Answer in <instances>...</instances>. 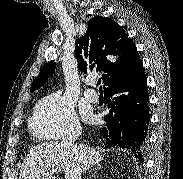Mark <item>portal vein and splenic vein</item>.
<instances>
[{"instance_id":"portal-vein-and-splenic-vein-1","label":"portal vein and splenic vein","mask_w":183,"mask_h":179,"mask_svg":"<svg viewBox=\"0 0 183 179\" xmlns=\"http://www.w3.org/2000/svg\"><path fill=\"white\" fill-rule=\"evenodd\" d=\"M60 169H58V168H53V169H51L49 172H48V174H54V173H60Z\"/></svg>"}]
</instances>
